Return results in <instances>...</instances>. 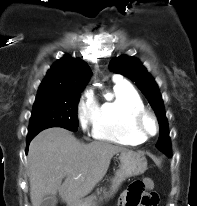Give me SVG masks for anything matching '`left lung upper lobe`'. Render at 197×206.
I'll return each instance as SVG.
<instances>
[{
    "mask_svg": "<svg viewBox=\"0 0 197 206\" xmlns=\"http://www.w3.org/2000/svg\"><path fill=\"white\" fill-rule=\"evenodd\" d=\"M109 67L114 73L122 74L134 81L146 96L157 116L160 126V135L156 147L165 154L170 152L171 142L163 100L152 76L137 59L126 55L113 59Z\"/></svg>",
    "mask_w": 197,
    "mask_h": 206,
    "instance_id": "obj_1",
    "label": "left lung upper lobe"
}]
</instances>
